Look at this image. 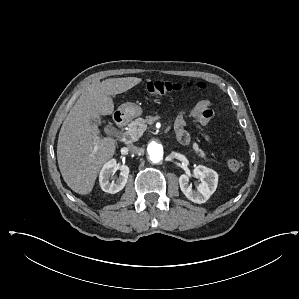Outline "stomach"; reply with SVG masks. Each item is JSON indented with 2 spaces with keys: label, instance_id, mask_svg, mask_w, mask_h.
I'll return each mask as SVG.
<instances>
[{
  "label": "stomach",
  "instance_id": "1",
  "mask_svg": "<svg viewBox=\"0 0 299 299\" xmlns=\"http://www.w3.org/2000/svg\"><path fill=\"white\" fill-rule=\"evenodd\" d=\"M119 111L126 119H133L142 114V108L139 105L131 102L122 104L119 107Z\"/></svg>",
  "mask_w": 299,
  "mask_h": 299
}]
</instances>
